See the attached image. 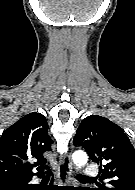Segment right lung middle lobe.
<instances>
[{
  "mask_svg": "<svg viewBox=\"0 0 135 190\" xmlns=\"http://www.w3.org/2000/svg\"><path fill=\"white\" fill-rule=\"evenodd\" d=\"M0 185L6 186V187L8 186L9 188H16L24 184L22 183V181H19V180H9V181L0 182Z\"/></svg>",
  "mask_w": 135,
  "mask_h": 190,
  "instance_id": "dd1d6c3e",
  "label": "right lung middle lobe"
}]
</instances>
